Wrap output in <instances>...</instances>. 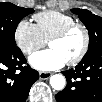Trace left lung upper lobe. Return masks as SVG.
I'll list each match as a JSON object with an SVG mask.
<instances>
[{"mask_svg": "<svg viewBox=\"0 0 102 102\" xmlns=\"http://www.w3.org/2000/svg\"><path fill=\"white\" fill-rule=\"evenodd\" d=\"M71 11L78 15L89 31V48L86 55L97 50L102 51V18L86 9H71Z\"/></svg>", "mask_w": 102, "mask_h": 102, "instance_id": "5c2ea615", "label": "left lung upper lobe"}]
</instances>
